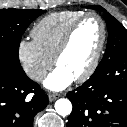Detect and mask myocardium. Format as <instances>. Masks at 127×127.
Returning <instances> with one entry per match:
<instances>
[{"label":"myocardium","instance_id":"obj_1","mask_svg":"<svg viewBox=\"0 0 127 127\" xmlns=\"http://www.w3.org/2000/svg\"><path fill=\"white\" fill-rule=\"evenodd\" d=\"M87 18H95L100 22L101 32H102L101 40H100L99 47L91 63L87 67V69L83 73H81L78 77L75 78V81L77 82H83L87 80L95 72V70L97 69L99 65L100 59L102 57V54L105 48L106 39H107V26H106L104 19L100 15L93 13V12H87V13L82 14L67 29L53 57L54 64L57 66L60 58L67 51L70 45V42L72 40V37L75 31L77 30L78 26Z\"/></svg>","mask_w":127,"mask_h":127}]
</instances>
